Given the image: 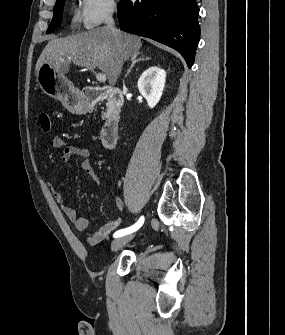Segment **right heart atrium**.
Returning <instances> with one entry per match:
<instances>
[{"label": "right heart atrium", "mask_w": 285, "mask_h": 335, "mask_svg": "<svg viewBox=\"0 0 285 335\" xmlns=\"http://www.w3.org/2000/svg\"><path fill=\"white\" fill-rule=\"evenodd\" d=\"M116 9V1H82L72 11V22L86 29H93L107 22Z\"/></svg>", "instance_id": "obj_1"}]
</instances>
